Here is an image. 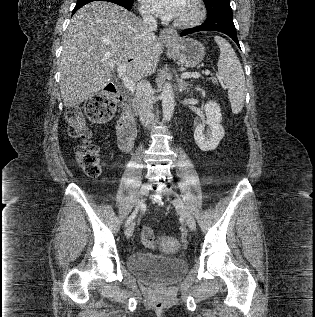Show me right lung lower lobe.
<instances>
[{"mask_svg": "<svg viewBox=\"0 0 315 317\" xmlns=\"http://www.w3.org/2000/svg\"><path fill=\"white\" fill-rule=\"evenodd\" d=\"M92 1H108V2H112V3H115V4H118L126 9H131V6L133 5V3H128L126 1H123V0H90V1H85V2H80V3H77L72 14H74L79 8H81L82 6H84L85 4L87 3H90Z\"/></svg>", "mask_w": 315, "mask_h": 317, "instance_id": "right-lung-lower-lobe-1", "label": "right lung lower lobe"}]
</instances>
